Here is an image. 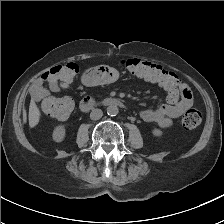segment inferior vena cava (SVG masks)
<instances>
[{"label": "inferior vena cava", "mask_w": 224, "mask_h": 224, "mask_svg": "<svg viewBox=\"0 0 224 224\" xmlns=\"http://www.w3.org/2000/svg\"><path fill=\"white\" fill-rule=\"evenodd\" d=\"M103 116V112L101 109H94L90 113L91 120H99Z\"/></svg>", "instance_id": "602c4592"}]
</instances>
